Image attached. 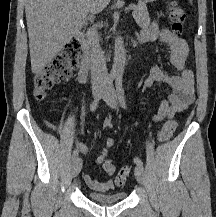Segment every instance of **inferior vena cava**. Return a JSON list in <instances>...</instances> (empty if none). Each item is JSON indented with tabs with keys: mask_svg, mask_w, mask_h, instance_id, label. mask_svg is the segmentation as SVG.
Listing matches in <instances>:
<instances>
[{
	"mask_svg": "<svg viewBox=\"0 0 216 217\" xmlns=\"http://www.w3.org/2000/svg\"><path fill=\"white\" fill-rule=\"evenodd\" d=\"M91 83L94 88L102 87L109 81L104 52L97 41L91 49Z\"/></svg>",
	"mask_w": 216,
	"mask_h": 217,
	"instance_id": "602c4592",
	"label": "inferior vena cava"
}]
</instances>
